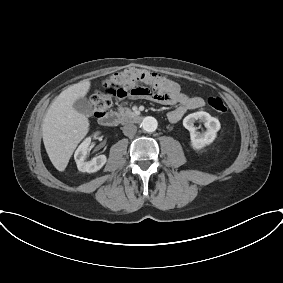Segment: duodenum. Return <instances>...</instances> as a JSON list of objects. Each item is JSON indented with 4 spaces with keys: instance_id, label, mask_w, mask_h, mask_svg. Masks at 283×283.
I'll list each match as a JSON object with an SVG mask.
<instances>
[{
    "instance_id": "410a0bca",
    "label": "duodenum",
    "mask_w": 283,
    "mask_h": 283,
    "mask_svg": "<svg viewBox=\"0 0 283 283\" xmlns=\"http://www.w3.org/2000/svg\"><path fill=\"white\" fill-rule=\"evenodd\" d=\"M99 123L105 127H115L119 123H140L142 116L137 113L119 114L116 112H107L98 118Z\"/></svg>"
}]
</instances>
